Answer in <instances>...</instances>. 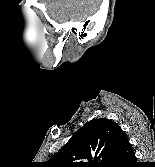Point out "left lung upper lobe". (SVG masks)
Here are the masks:
<instances>
[{"mask_svg":"<svg viewBox=\"0 0 155 167\" xmlns=\"http://www.w3.org/2000/svg\"><path fill=\"white\" fill-rule=\"evenodd\" d=\"M126 139L117 123L93 119L77 130L49 162L53 167H111Z\"/></svg>","mask_w":155,"mask_h":167,"instance_id":"left-lung-upper-lobe-1","label":"left lung upper lobe"}]
</instances>
